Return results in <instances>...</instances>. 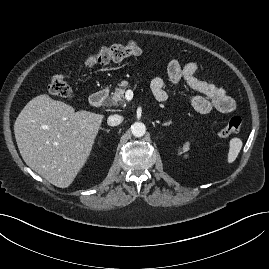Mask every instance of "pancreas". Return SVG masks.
<instances>
[{
  "instance_id": "obj_1",
  "label": "pancreas",
  "mask_w": 269,
  "mask_h": 269,
  "mask_svg": "<svg viewBox=\"0 0 269 269\" xmlns=\"http://www.w3.org/2000/svg\"><path fill=\"white\" fill-rule=\"evenodd\" d=\"M128 87L127 82H121L118 87L115 88V92L112 93L111 99L109 100V105H124V98L126 88Z\"/></svg>"
}]
</instances>
